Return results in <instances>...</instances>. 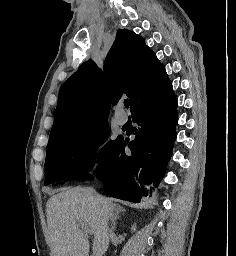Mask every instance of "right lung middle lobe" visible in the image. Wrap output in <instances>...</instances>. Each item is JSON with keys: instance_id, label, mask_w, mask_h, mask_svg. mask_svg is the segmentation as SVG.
<instances>
[{"instance_id": "obj_1", "label": "right lung middle lobe", "mask_w": 236, "mask_h": 256, "mask_svg": "<svg viewBox=\"0 0 236 256\" xmlns=\"http://www.w3.org/2000/svg\"><path fill=\"white\" fill-rule=\"evenodd\" d=\"M109 136L107 120L82 125L71 132L50 139L46 148V178L44 185L78 179L89 175L97 164L106 160L109 152L119 140L107 142Z\"/></svg>"}]
</instances>
